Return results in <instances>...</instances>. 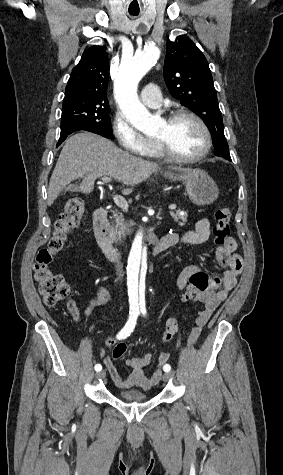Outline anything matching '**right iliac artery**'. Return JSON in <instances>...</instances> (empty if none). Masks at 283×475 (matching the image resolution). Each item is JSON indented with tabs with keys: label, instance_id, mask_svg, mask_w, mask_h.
<instances>
[{
	"label": "right iliac artery",
	"instance_id": "82829eb1",
	"mask_svg": "<svg viewBox=\"0 0 283 475\" xmlns=\"http://www.w3.org/2000/svg\"><path fill=\"white\" fill-rule=\"evenodd\" d=\"M139 315V312H130L129 314V319L124 326V328L118 333L117 339H125L128 336H130L131 332H133L135 325H136V320ZM102 366L100 364L95 365V370L96 371H101Z\"/></svg>",
	"mask_w": 283,
	"mask_h": 475
}]
</instances>
